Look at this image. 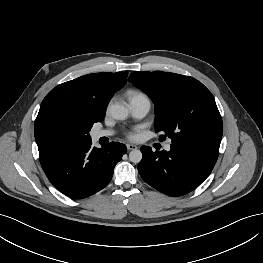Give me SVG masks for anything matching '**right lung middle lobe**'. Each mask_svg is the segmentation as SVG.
Masks as SVG:
<instances>
[{"instance_id": "obj_1", "label": "right lung middle lobe", "mask_w": 263, "mask_h": 263, "mask_svg": "<svg viewBox=\"0 0 263 263\" xmlns=\"http://www.w3.org/2000/svg\"><path fill=\"white\" fill-rule=\"evenodd\" d=\"M95 122L89 118L58 120L47 140V152L54 155L65 148L91 140L89 131Z\"/></svg>"}]
</instances>
